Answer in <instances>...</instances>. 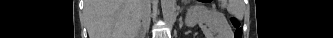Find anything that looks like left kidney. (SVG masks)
Instances as JSON below:
<instances>
[{
	"label": "left kidney",
	"instance_id": "5707ae66",
	"mask_svg": "<svg viewBox=\"0 0 333 38\" xmlns=\"http://www.w3.org/2000/svg\"><path fill=\"white\" fill-rule=\"evenodd\" d=\"M197 24H205L209 33L215 38H230L232 30L226 17L217 10L208 9L202 4L191 6L186 13L185 25L194 27Z\"/></svg>",
	"mask_w": 333,
	"mask_h": 38
}]
</instances>
